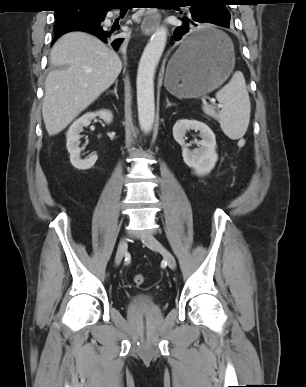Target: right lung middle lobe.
Wrapping results in <instances>:
<instances>
[{"label": "right lung middle lobe", "instance_id": "right-lung-middle-lobe-1", "mask_svg": "<svg viewBox=\"0 0 306 387\" xmlns=\"http://www.w3.org/2000/svg\"><path fill=\"white\" fill-rule=\"evenodd\" d=\"M99 8L86 7L82 10H74L71 8H60L55 11V32L64 30L69 26L89 23L90 19L97 15Z\"/></svg>", "mask_w": 306, "mask_h": 387}]
</instances>
